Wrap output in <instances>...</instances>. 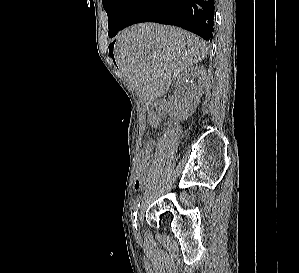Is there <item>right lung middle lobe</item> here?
<instances>
[{
    "instance_id": "1",
    "label": "right lung middle lobe",
    "mask_w": 299,
    "mask_h": 273,
    "mask_svg": "<svg viewBox=\"0 0 299 273\" xmlns=\"http://www.w3.org/2000/svg\"><path fill=\"white\" fill-rule=\"evenodd\" d=\"M134 0H102L103 7L108 15L109 37L115 36L123 18Z\"/></svg>"
}]
</instances>
